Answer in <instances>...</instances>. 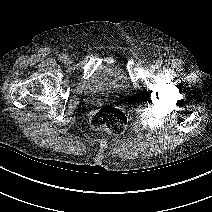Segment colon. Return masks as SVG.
Instances as JSON below:
<instances>
[{
	"label": "colon",
	"instance_id": "obj_1",
	"mask_svg": "<svg viewBox=\"0 0 212 212\" xmlns=\"http://www.w3.org/2000/svg\"><path fill=\"white\" fill-rule=\"evenodd\" d=\"M127 122V116L121 110L112 106L102 107L90 119L94 130L108 131L115 134L123 132Z\"/></svg>",
	"mask_w": 212,
	"mask_h": 212
}]
</instances>
